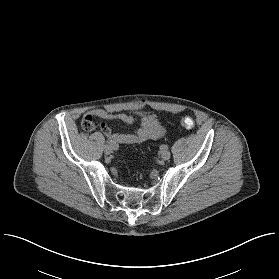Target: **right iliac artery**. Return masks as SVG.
I'll return each instance as SVG.
<instances>
[{
	"label": "right iliac artery",
	"mask_w": 279,
	"mask_h": 279,
	"mask_svg": "<svg viewBox=\"0 0 279 279\" xmlns=\"http://www.w3.org/2000/svg\"><path fill=\"white\" fill-rule=\"evenodd\" d=\"M107 142H109V140H107ZM119 146L118 145H112V149L113 150H118Z\"/></svg>",
	"instance_id": "obj_1"
}]
</instances>
